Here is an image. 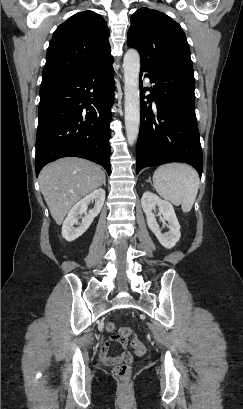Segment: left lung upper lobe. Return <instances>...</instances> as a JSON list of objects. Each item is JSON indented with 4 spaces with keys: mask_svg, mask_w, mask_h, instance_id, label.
<instances>
[{
    "mask_svg": "<svg viewBox=\"0 0 243 409\" xmlns=\"http://www.w3.org/2000/svg\"><path fill=\"white\" fill-rule=\"evenodd\" d=\"M127 45L138 50L141 71L154 73L174 66L193 68L185 33L160 11L141 8L131 16Z\"/></svg>",
    "mask_w": 243,
    "mask_h": 409,
    "instance_id": "left-lung-upper-lobe-1",
    "label": "left lung upper lobe"
}]
</instances>
